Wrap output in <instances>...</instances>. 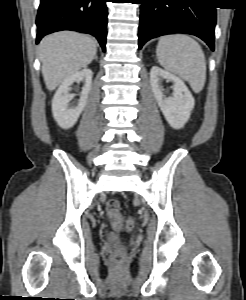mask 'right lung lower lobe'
<instances>
[{
  "label": "right lung lower lobe",
  "mask_w": 246,
  "mask_h": 300,
  "mask_svg": "<svg viewBox=\"0 0 246 300\" xmlns=\"http://www.w3.org/2000/svg\"><path fill=\"white\" fill-rule=\"evenodd\" d=\"M107 0H41L37 14V41L60 30L95 36L106 50Z\"/></svg>",
  "instance_id": "obj_1"
}]
</instances>
